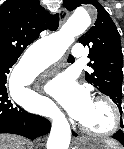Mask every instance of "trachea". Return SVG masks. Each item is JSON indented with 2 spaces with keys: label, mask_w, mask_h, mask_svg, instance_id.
<instances>
[{
  "label": "trachea",
  "mask_w": 124,
  "mask_h": 149,
  "mask_svg": "<svg viewBox=\"0 0 124 149\" xmlns=\"http://www.w3.org/2000/svg\"><path fill=\"white\" fill-rule=\"evenodd\" d=\"M72 60H75L74 57L72 55H69L68 61H72Z\"/></svg>",
  "instance_id": "3493384b"
}]
</instances>
